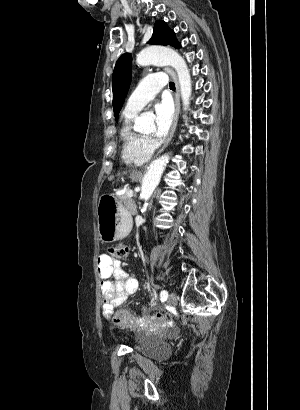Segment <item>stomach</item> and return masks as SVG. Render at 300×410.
Masks as SVG:
<instances>
[{
  "label": "stomach",
  "mask_w": 300,
  "mask_h": 410,
  "mask_svg": "<svg viewBox=\"0 0 300 410\" xmlns=\"http://www.w3.org/2000/svg\"><path fill=\"white\" fill-rule=\"evenodd\" d=\"M133 180L138 177L131 175ZM98 232L103 242L110 243L124 238L130 231L131 216L112 195H103L97 207Z\"/></svg>",
  "instance_id": "stomach-1"
}]
</instances>
